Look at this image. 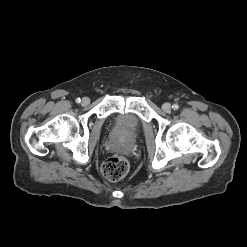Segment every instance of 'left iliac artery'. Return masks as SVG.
I'll return each mask as SVG.
<instances>
[{
    "label": "left iliac artery",
    "instance_id": "left-iliac-artery-1",
    "mask_svg": "<svg viewBox=\"0 0 247 247\" xmlns=\"http://www.w3.org/2000/svg\"><path fill=\"white\" fill-rule=\"evenodd\" d=\"M172 107H173L174 110H177L179 108V105L178 104H174Z\"/></svg>",
    "mask_w": 247,
    "mask_h": 247
}]
</instances>
